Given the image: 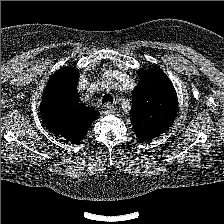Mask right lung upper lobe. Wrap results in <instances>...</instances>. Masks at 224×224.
<instances>
[{"label": "right lung upper lobe", "instance_id": "cb5924a9", "mask_svg": "<svg viewBox=\"0 0 224 224\" xmlns=\"http://www.w3.org/2000/svg\"><path fill=\"white\" fill-rule=\"evenodd\" d=\"M78 73L66 67L50 78L40 104L46 127L56 136L79 143L86 135L97 113L79 102L76 84Z\"/></svg>", "mask_w": 224, "mask_h": 224}]
</instances>
